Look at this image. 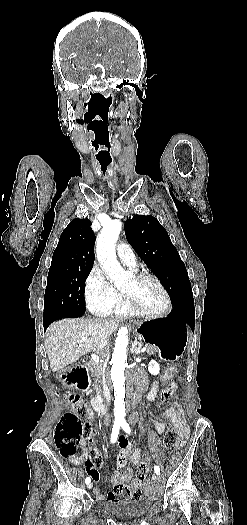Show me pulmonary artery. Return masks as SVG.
Segmentation results:
<instances>
[{"label": "pulmonary artery", "mask_w": 247, "mask_h": 525, "mask_svg": "<svg viewBox=\"0 0 247 525\" xmlns=\"http://www.w3.org/2000/svg\"><path fill=\"white\" fill-rule=\"evenodd\" d=\"M116 253L124 262H132L135 260V254L132 247L125 241L120 240L117 242Z\"/></svg>", "instance_id": "obj_1"}]
</instances>
